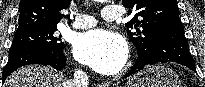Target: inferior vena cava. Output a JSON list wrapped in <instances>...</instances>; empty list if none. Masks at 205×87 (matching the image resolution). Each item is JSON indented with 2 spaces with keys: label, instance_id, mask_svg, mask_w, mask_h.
I'll use <instances>...</instances> for the list:
<instances>
[{
  "label": "inferior vena cava",
  "instance_id": "obj_1",
  "mask_svg": "<svg viewBox=\"0 0 205 87\" xmlns=\"http://www.w3.org/2000/svg\"><path fill=\"white\" fill-rule=\"evenodd\" d=\"M89 78L85 72L76 69L74 72V78L67 83V87H88Z\"/></svg>",
  "mask_w": 205,
  "mask_h": 87
}]
</instances>
